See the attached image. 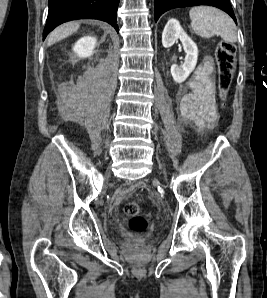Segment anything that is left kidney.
Listing matches in <instances>:
<instances>
[{
	"mask_svg": "<svg viewBox=\"0 0 267 298\" xmlns=\"http://www.w3.org/2000/svg\"><path fill=\"white\" fill-rule=\"evenodd\" d=\"M178 39L182 42L186 53L185 62L182 66L173 64L171 74L176 83L184 82L190 73L195 69L198 58V48L194 41L187 35L181 27L179 21L170 19L164 27L162 33V45L165 48L171 47Z\"/></svg>",
	"mask_w": 267,
	"mask_h": 298,
	"instance_id": "1",
	"label": "left kidney"
}]
</instances>
